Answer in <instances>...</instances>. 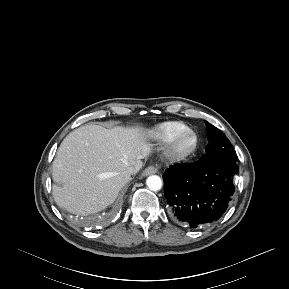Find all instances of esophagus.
<instances>
[{"label": "esophagus", "mask_w": 289, "mask_h": 289, "mask_svg": "<svg viewBox=\"0 0 289 289\" xmlns=\"http://www.w3.org/2000/svg\"><path fill=\"white\" fill-rule=\"evenodd\" d=\"M158 169L155 166H148L144 171H143V176H148L157 173Z\"/></svg>", "instance_id": "esophagus-1"}]
</instances>
